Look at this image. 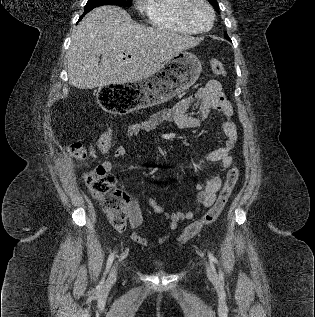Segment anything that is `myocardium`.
Listing matches in <instances>:
<instances>
[{"label": "myocardium", "instance_id": "myocardium-1", "mask_svg": "<svg viewBox=\"0 0 315 317\" xmlns=\"http://www.w3.org/2000/svg\"><path fill=\"white\" fill-rule=\"evenodd\" d=\"M195 3H202L206 6V8L209 11L210 14V23L208 27L199 29L193 25V23L190 20V9ZM180 19L183 22V24L189 28L191 31L195 33H206L211 30L213 27L214 21H215V12L211 4L208 2V0H183V3L180 6L179 10Z\"/></svg>", "mask_w": 315, "mask_h": 317}]
</instances>
